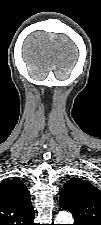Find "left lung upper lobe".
<instances>
[{"label":"left lung upper lobe","mask_w":101,"mask_h":225,"mask_svg":"<svg viewBox=\"0 0 101 225\" xmlns=\"http://www.w3.org/2000/svg\"><path fill=\"white\" fill-rule=\"evenodd\" d=\"M60 207L73 214L75 224L101 225V192L86 180L72 178L66 182Z\"/></svg>","instance_id":"1"}]
</instances>
